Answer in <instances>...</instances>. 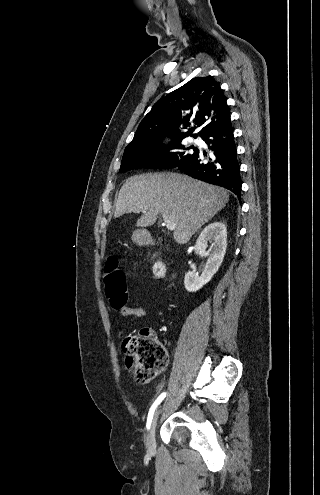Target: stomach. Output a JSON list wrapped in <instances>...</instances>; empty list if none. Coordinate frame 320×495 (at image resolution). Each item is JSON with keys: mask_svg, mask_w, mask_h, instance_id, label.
Here are the masks:
<instances>
[{"mask_svg": "<svg viewBox=\"0 0 320 495\" xmlns=\"http://www.w3.org/2000/svg\"><path fill=\"white\" fill-rule=\"evenodd\" d=\"M132 240L138 244L144 243L145 242L144 234L140 231H136L132 235Z\"/></svg>", "mask_w": 320, "mask_h": 495, "instance_id": "obj_1", "label": "stomach"}]
</instances>
